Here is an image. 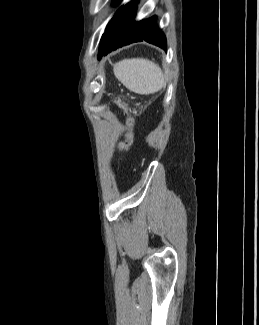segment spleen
Returning <instances> with one entry per match:
<instances>
[{
    "instance_id": "spleen-1",
    "label": "spleen",
    "mask_w": 259,
    "mask_h": 325,
    "mask_svg": "<svg viewBox=\"0 0 259 325\" xmlns=\"http://www.w3.org/2000/svg\"><path fill=\"white\" fill-rule=\"evenodd\" d=\"M113 72L127 89L141 95L155 93L165 84L161 68L144 58L119 61L114 65Z\"/></svg>"
}]
</instances>
